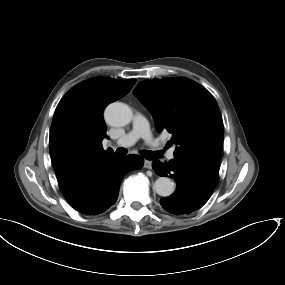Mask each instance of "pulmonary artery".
<instances>
[{"label": "pulmonary artery", "mask_w": 285, "mask_h": 285, "mask_svg": "<svg viewBox=\"0 0 285 285\" xmlns=\"http://www.w3.org/2000/svg\"><path fill=\"white\" fill-rule=\"evenodd\" d=\"M139 138H143L148 144L154 143V137L150 132L148 123L146 119L141 115H136L133 120V128L130 132L124 135L121 139L115 142L117 146H131L133 145ZM174 151L172 148L166 152V158L169 161L174 160Z\"/></svg>", "instance_id": "e3ab8cb5"}]
</instances>
